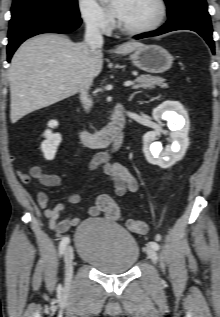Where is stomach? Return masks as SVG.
I'll return each instance as SVG.
<instances>
[{
  "label": "stomach",
  "mask_w": 220,
  "mask_h": 317,
  "mask_svg": "<svg viewBox=\"0 0 220 317\" xmlns=\"http://www.w3.org/2000/svg\"><path fill=\"white\" fill-rule=\"evenodd\" d=\"M133 64L149 73H162L169 70L173 63L172 55L159 45H143L130 56Z\"/></svg>",
  "instance_id": "1"
}]
</instances>
